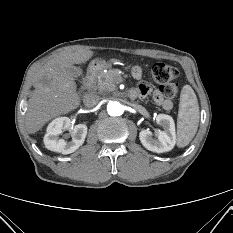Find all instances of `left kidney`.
Returning a JSON list of instances; mask_svg holds the SVG:
<instances>
[{
	"mask_svg": "<svg viewBox=\"0 0 233 233\" xmlns=\"http://www.w3.org/2000/svg\"><path fill=\"white\" fill-rule=\"evenodd\" d=\"M156 123L163 128V130L157 131L156 138H153L151 131L144 129L139 133V139L149 151L156 153L168 152L173 149L176 143L174 120L169 115L159 114L156 116Z\"/></svg>",
	"mask_w": 233,
	"mask_h": 233,
	"instance_id": "1",
	"label": "left kidney"
}]
</instances>
